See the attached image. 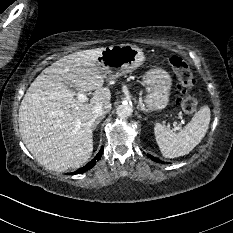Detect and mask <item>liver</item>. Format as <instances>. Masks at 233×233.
I'll return each instance as SVG.
<instances>
[{"label": "liver", "instance_id": "liver-1", "mask_svg": "<svg viewBox=\"0 0 233 233\" xmlns=\"http://www.w3.org/2000/svg\"><path fill=\"white\" fill-rule=\"evenodd\" d=\"M104 48L69 54L45 68L28 88L19 109L22 140L36 160L58 172L85 164L93 151L92 109L110 101L98 67ZM95 90L89 102L75 92Z\"/></svg>", "mask_w": 233, "mask_h": 233}]
</instances>
